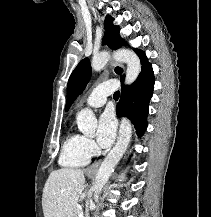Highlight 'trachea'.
Segmentation results:
<instances>
[{"label":"trachea","mask_w":211,"mask_h":217,"mask_svg":"<svg viewBox=\"0 0 211 217\" xmlns=\"http://www.w3.org/2000/svg\"><path fill=\"white\" fill-rule=\"evenodd\" d=\"M113 96H114V98H119L120 92H119V91H116Z\"/></svg>","instance_id":"3493384b"}]
</instances>
